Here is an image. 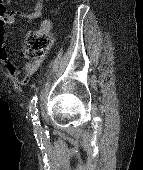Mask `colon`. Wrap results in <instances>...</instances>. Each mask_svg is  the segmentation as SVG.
Returning a JSON list of instances; mask_svg holds the SVG:
<instances>
[{"label":"colon","instance_id":"obj_1","mask_svg":"<svg viewBox=\"0 0 143 170\" xmlns=\"http://www.w3.org/2000/svg\"><path fill=\"white\" fill-rule=\"evenodd\" d=\"M8 0H0V21L6 19ZM52 45V37L46 32H32L25 37L24 55L27 58L43 57Z\"/></svg>","mask_w":143,"mask_h":170}]
</instances>
